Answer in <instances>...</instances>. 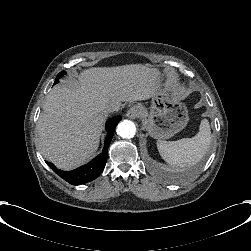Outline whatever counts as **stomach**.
<instances>
[{
    "instance_id": "1",
    "label": "stomach",
    "mask_w": 251,
    "mask_h": 251,
    "mask_svg": "<svg viewBox=\"0 0 251 251\" xmlns=\"http://www.w3.org/2000/svg\"><path fill=\"white\" fill-rule=\"evenodd\" d=\"M163 74L158 71L157 92L152 97L149 113L142 106V112L138 118L143 119L144 128L155 139H168L183 130L188 121V110L184 103L174 101L168 93L162 89Z\"/></svg>"
}]
</instances>
